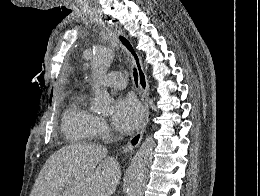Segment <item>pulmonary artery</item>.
<instances>
[{"mask_svg":"<svg viewBox=\"0 0 260 196\" xmlns=\"http://www.w3.org/2000/svg\"><path fill=\"white\" fill-rule=\"evenodd\" d=\"M125 72H112L110 79H99V84H122ZM102 90H126V85H102Z\"/></svg>","mask_w":260,"mask_h":196,"instance_id":"obj_1","label":"pulmonary artery"}]
</instances>
